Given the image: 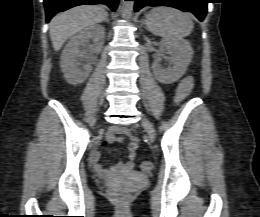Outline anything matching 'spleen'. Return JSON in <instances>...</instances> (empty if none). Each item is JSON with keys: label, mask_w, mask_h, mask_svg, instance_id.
Returning a JSON list of instances; mask_svg holds the SVG:
<instances>
[{"label": "spleen", "mask_w": 260, "mask_h": 217, "mask_svg": "<svg viewBox=\"0 0 260 217\" xmlns=\"http://www.w3.org/2000/svg\"><path fill=\"white\" fill-rule=\"evenodd\" d=\"M146 25L154 35L169 38L188 36L193 29L190 15L170 7H157L147 15Z\"/></svg>", "instance_id": "obj_1"}]
</instances>
